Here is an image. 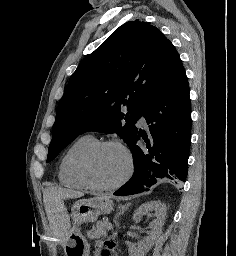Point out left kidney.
<instances>
[{"label":"left kidney","instance_id":"obj_1","mask_svg":"<svg viewBox=\"0 0 236 256\" xmlns=\"http://www.w3.org/2000/svg\"><path fill=\"white\" fill-rule=\"evenodd\" d=\"M149 212H155L156 214V220L150 222L149 228H151V234L143 242H138L135 246H130L128 248L129 256H146L147 252L154 246L155 240L162 234V226L166 216L165 204H162V202H147V204H142L138 210H135L133 218L134 220H140L144 214H149Z\"/></svg>","mask_w":236,"mask_h":256}]
</instances>
